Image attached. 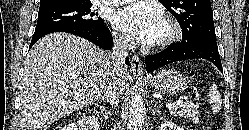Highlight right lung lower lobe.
Returning <instances> with one entry per match:
<instances>
[{"label":"right lung lower lobe","mask_w":249,"mask_h":130,"mask_svg":"<svg viewBox=\"0 0 249 130\" xmlns=\"http://www.w3.org/2000/svg\"><path fill=\"white\" fill-rule=\"evenodd\" d=\"M54 32H65L83 37L91 41L92 43L96 44L100 48L106 50H109L113 44V38L110 33V30L105 25L96 28L79 26V25H66V26H59V27L46 29L43 31H35L29 48H31L33 44L41 37ZM128 62L129 59L126 58V64H128Z\"/></svg>","instance_id":"98d812e1"}]
</instances>
